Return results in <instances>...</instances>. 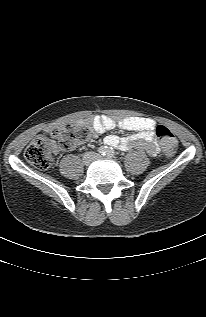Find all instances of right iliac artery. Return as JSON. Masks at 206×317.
Segmentation results:
<instances>
[{"label":"right iliac artery","mask_w":206,"mask_h":317,"mask_svg":"<svg viewBox=\"0 0 206 317\" xmlns=\"http://www.w3.org/2000/svg\"><path fill=\"white\" fill-rule=\"evenodd\" d=\"M98 153L100 155L105 156L107 154V147L106 146H101L100 148H98Z\"/></svg>","instance_id":"82829eb1"}]
</instances>
